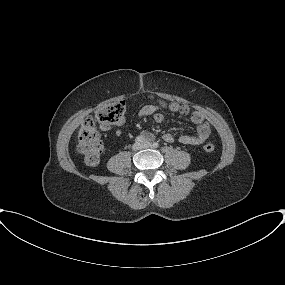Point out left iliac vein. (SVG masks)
<instances>
[{
  "label": "left iliac vein",
  "instance_id": "4c4485c4",
  "mask_svg": "<svg viewBox=\"0 0 285 285\" xmlns=\"http://www.w3.org/2000/svg\"><path fill=\"white\" fill-rule=\"evenodd\" d=\"M142 146H143V147H146V148H149V147L152 146V144H151L149 141H144V142L142 143Z\"/></svg>",
  "mask_w": 285,
  "mask_h": 285
}]
</instances>
